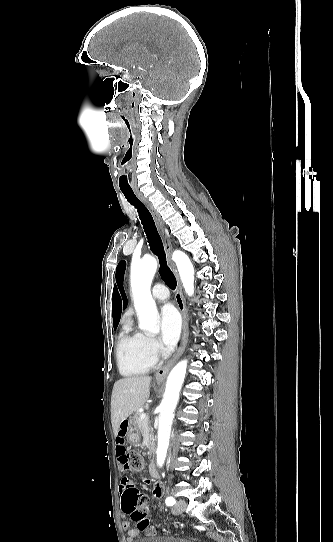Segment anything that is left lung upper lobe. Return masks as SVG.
Wrapping results in <instances>:
<instances>
[{
	"label": "left lung upper lobe",
	"instance_id": "1",
	"mask_svg": "<svg viewBox=\"0 0 333 542\" xmlns=\"http://www.w3.org/2000/svg\"><path fill=\"white\" fill-rule=\"evenodd\" d=\"M125 266H126V263L124 261L119 262V264L117 266V269H116V280H117V283H118L119 288L121 290V293H122V296H123V299H124V304H125V307H126L127 300H126V296H125L124 291H123V276H124Z\"/></svg>",
	"mask_w": 333,
	"mask_h": 542
}]
</instances>
